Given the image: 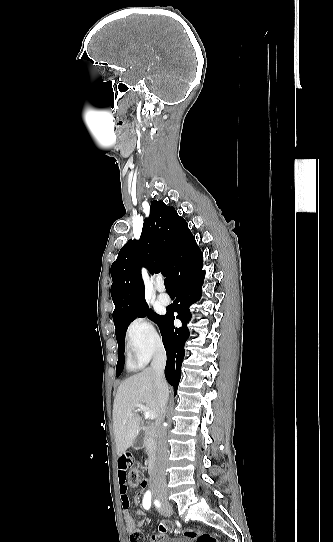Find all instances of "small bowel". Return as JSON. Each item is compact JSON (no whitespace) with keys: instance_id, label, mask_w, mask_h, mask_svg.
Returning a JSON list of instances; mask_svg holds the SVG:
<instances>
[{"instance_id":"obj_1","label":"small bowel","mask_w":333,"mask_h":542,"mask_svg":"<svg viewBox=\"0 0 333 542\" xmlns=\"http://www.w3.org/2000/svg\"><path fill=\"white\" fill-rule=\"evenodd\" d=\"M130 463V456L128 454H125L120 457L118 461V473H117V480H118V492L120 496V504L123 511V518L126 522V527L128 533H133L134 531L138 530L140 528V524L134 519L133 513L137 517H141L144 515V509L142 508H136L133 512L131 510L130 500L128 497V488L126 485V476H127V468ZM150 484V481L148 479H144L142 481V484L140 485V488L142 490H145L147 486ZM134 502L136 505H140L142 503V495L137 493L134 496ZM153 542H158V537L153 536L152 537Z\"/></svg>"}]
</instances>
